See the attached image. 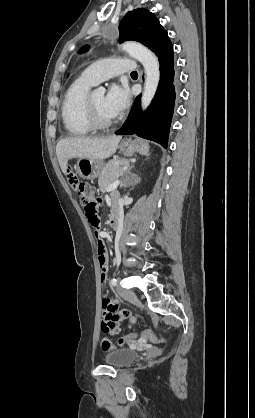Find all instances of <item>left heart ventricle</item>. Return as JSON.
<instances>
[{"instance_id": "left-heart-ventricle-1", "label": "left heart ventricle", "mask_w": 255, "mask_h": 418, "mask_svg": "<svg viewBox=\"0 0 255 418\" xmlns=\"http://www.w3.org/2000/svg\"><path fill=\"white\" fill-rule=\"evenodd\" d=\"M104 95L102 93H93L92 94V102L96 109L98 116L105 121L111 120L112 118L108 116V114L104 110Z\"/></svg>"}]
</instances>
